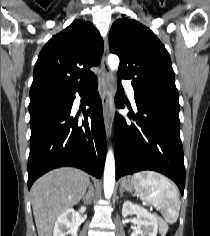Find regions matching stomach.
Listing matches in <instances>:
<instances>
[{"label":"stomach","mask_w":210,"mask_h":236,"mask_svg":"<svg viewBox=\"0 0 210 236\" xmlns=\"http://www.w3.org/2000/svg\"><path fill=\"white\" fill-rule=\"evenodd\" d=\"M121 188L126 191L136 190L135 183L130 178H125L121 181Z\"/></svg>","instance_id":"obj_1"}]
</instances>
